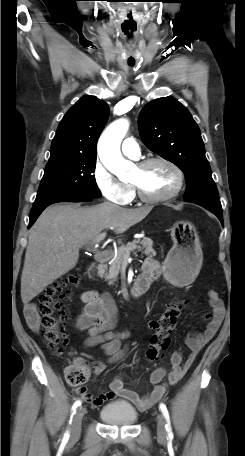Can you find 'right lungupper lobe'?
Masks as SVG:
<instances>
[{
    "instance_id": "obj_1",
    "label": "right lung upper lobe",
    "mask_w": 245,
    "mask_h": 456,
    "mask_svg": "<svg viewBox=\"0 0 245 456\" xmlns=\"http://www.w3.org/2000/svg\"><path fill=\"white\" fill-rule=\"evenodd\" d=\"M108 105L95 96H83L65 114L52 140L48 163L96 156L97 140L106 124Z\"/></svg>"
}]
</instances>
